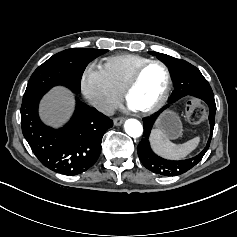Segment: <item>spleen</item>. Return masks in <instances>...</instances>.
Returning <instances> with one entry per match:
<instances>
[{
	"instance_id": "spleen-1",
	"label": "spleen",
	"mask_w": 237,
	"mask_h": 237,
	"mask_svg": "<svg viewBox=\"0 0 237 237\" xmlns=\"http://www.w3.org/2000/svg\"><path fill=\"white\" fill-rule=\"evenodd\" d=\"M151 142L159 154L168 158L179 159L185 157L197 146L198 139L194 138L185 143L176 144L169 139L164 131L155 129L152 134Z\"/></svg>"
}]
</instances>
